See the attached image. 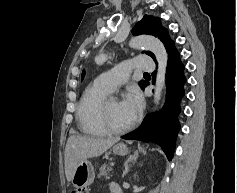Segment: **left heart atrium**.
<instances>
[{"mask_svg": "<svg viewBox=\"0 0 237 193\" xmlns=\"http://www.w3.org/2000/svg\"><path fill=\"white\" fill-rule=\"evenodd\" d=\"M122 105L128 112L131 121H135L143 108V99L140 92L137 89L130 90L122 101Z\"/></svg>", "mask_w": 237, "mask_h": 193, "instance_id": "left-heart-atrium-1", "label": "left heart atrium"}]
</instances>
